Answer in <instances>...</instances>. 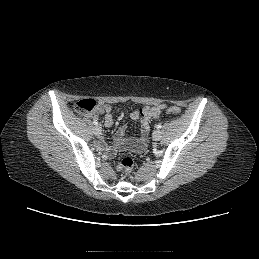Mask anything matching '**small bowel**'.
Here are the masks:
<instances>
[{"instance_id": "c3829d8e", "label": "small bowel", "mask_w": 259, "mask_h": 259, "mask_svg": "<svg viewBox=\"0 0 259 259\" xmlns=\"http://www.w3.org/2000/svg\"><path fill=\"white\" fill-rule=\"evenodd\" d=\"M165 105H155L145 107L140 110H134L130 117L132 120L141 121L140 136L138 138L128 139L125 137L126 126H121L116 135L114 146L107 145L104 141L98 143L99 147L105 150L109 155L115 153L117 149L129 148L140 152L144 150L147 144L148 134L150 132V121L160 117L164 111ZM104 113V123L106 127H112L114 124V116L112 107L109 104L102 105L98 108L96 114Z\"/></svg>"}]
</instances>
